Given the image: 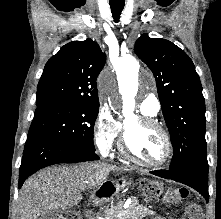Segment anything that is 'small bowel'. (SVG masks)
Instances as JSON below:
<instances>
[{"instance_id":"small-bowel-1","label":"small bowel","mask_w":221,"mask_h":219,"mask_svg":"<svg viewBox=\"0 0 221 219\" xmlns=\"http://www.w3.org/2000/svg\"><path fill=\"white\" fill-rule=\"evenodd\" d=\"M152 219H162V218H160V217H155V218H152Z\"/></svg>"}]
</instances>
